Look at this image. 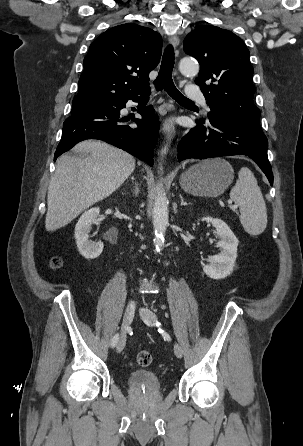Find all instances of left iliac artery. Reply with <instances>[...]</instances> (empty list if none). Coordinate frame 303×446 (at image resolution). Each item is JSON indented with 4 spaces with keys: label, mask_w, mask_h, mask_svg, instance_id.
<instances>
[{
    "label": "left iliac artery",
    "mask_w": 303,
    "mask_h": 446,
    "mask_svg": "<svg viewBox=\"0 0 303 446\" xmlns=\"http://www.w3.org/2000/svg\"><path fill=\"white\" fill-rule=\"evenodd\" d=\"M156 326H160V323H159V322H157V323H156Z\"/></svg>",
    "instance_id": "44dca946"
}]
</instances>
